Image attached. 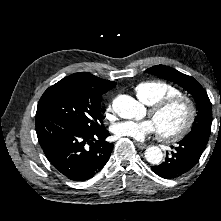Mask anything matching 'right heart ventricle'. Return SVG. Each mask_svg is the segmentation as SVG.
Segmentation results:
<instances>
[{"label":"right heart ventricle","mask_w":221,"mask_h":221,"mask_svg":"<svg viewBox=\"0 0 221 221\" xmlns=\"http://www.w3.org/2000/svg\"><path fill=\"white\" fill-rule=\"evenodd\" d=\"M135 93L141 102L149 106L161 99L181 95L177 87L161 80L141 82L135 87Z\"/></svg>","instance_id":"e07e8e85"}]
</instances>
